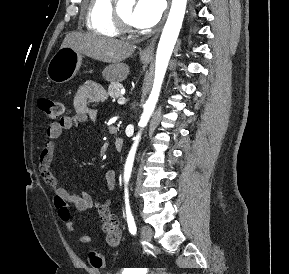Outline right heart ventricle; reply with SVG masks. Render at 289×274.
I'll return each instance as SVG.
<instances>
[{"instance_id":"1","label":"right heart ventricle","mask_w":289,"mask_h":274,"mask_svg":"<svg viewBox=\"0 0 289 274\" xmlns=\"http://www.w3.org/2000/svg\"><path fill=\"white\" fill-rule=\"evenodd\" d=\"M84 18L87 29L98 35L113 38L120 34L112 0H86Z\"/></svg>"}]
</instances>
